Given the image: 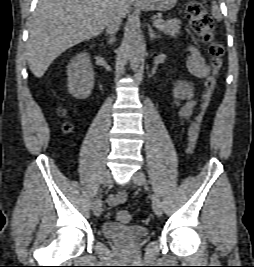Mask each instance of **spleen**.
Wrapping results in <instances>:
<instances>
[{
	"mask_svg": "<svg viewBox=\"0 0 254 267\" xmlns=\"http://www.w3.org/2000/svg\"><path fill=\"white\" fill-rule=\"evenodd\" d=\"M212 15L218 21H220L222 19V15H221L220 10H219L215 1L212 2Z\"/></svg>",
	"mask_w": 254,
	"mask_h": 267,
	"instance_id": "3e777b00",
	"label": "spleen"
}]
</instances>
